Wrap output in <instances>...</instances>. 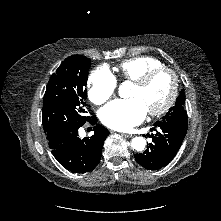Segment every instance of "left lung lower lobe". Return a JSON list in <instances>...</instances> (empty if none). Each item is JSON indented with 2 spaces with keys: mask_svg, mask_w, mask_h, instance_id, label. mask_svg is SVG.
<instances>
[{
  "mask_svg": "<svg viewBox=\"0 0 221 221\" xmlns=\"http://www.w3.org/2000/svg\"><path fill=\"white\" fill-rule=\"evenodd\" d=\"M152 130L156 131L150 136L152 143L143 153L135 154V160L148 170H158L175 157L187 130L166 121L156 122Z\"/></svg>",
  "mask_w": 221,
  "mask_h": 221,
  "instance_id": "left-lung-lower-lobe-1",
  "label": "left lung lower lobe"
}]
</instances>
